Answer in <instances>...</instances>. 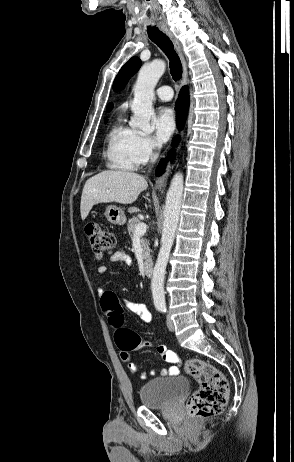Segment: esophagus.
I'll use <instances>...</instances> for the list:
<instances>
[{"instance_id": "1", "label": "esophagus", "mask_w": 294, "mask_h": 462, "mask_svg": "<svg viewBox=\"0 0 294 462\" xmlns=\"http://www.w3.org/2000/svg\"><path fill=\"white\" fill-rule=\"evenodd\" d=\"M159 27L170 38V40L173 42L175 48L180 54V58H181L182 66H183V77H182L181 85H185L187 82L188 72H187L186 61L182 53L181 45L179 41L174 37V35L172 34V32L169 30L168 26L165 23H159ZM169 170H170V166L167 167L166 173L156 180L155 187L157 189H161L164 186L167 176L169 174Z\"/></svg>"}]
</instances>
